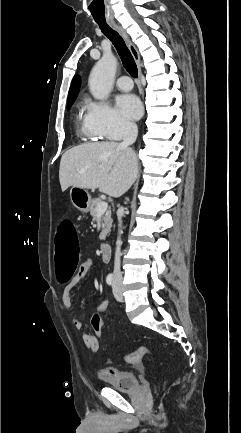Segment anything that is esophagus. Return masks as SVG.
Listing matches in <instances>:
<instances>
[{"instance_id":"esophagus-1","label":"esophagus","mask_w":241,"mask_h":433,"mask_svg":"<svg viewBox=\"0 0 241 433\" xmlns=\"http://www.w3.org/2000/svg\"><path fill=\"white\" fill-rule=\"evenodd\" d=\"M110 24L121 34V36L126 41L128 48H129L134 60L136 61L137 65H138V70H139V75H140L141 74L140 56H139L135 46L131 43L127 33L125 32V30L121 26H119L115 22H111Z\"/></svg>"}]
</instances>
